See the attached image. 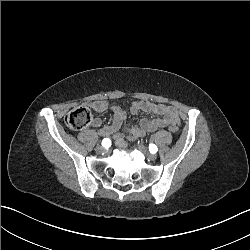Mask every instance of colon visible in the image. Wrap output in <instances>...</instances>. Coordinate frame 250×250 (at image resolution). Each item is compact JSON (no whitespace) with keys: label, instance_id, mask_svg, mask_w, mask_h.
Returning <instances> with one entry per match:
<instances>
[{"label":"colon","instance_id":"5ec220e1","mask_svg":"<svg viewBox=\"0 0 250 250\" xmlns=\"http://www.w3.org/2000/svg\"><path fill=\"white\" fill-rule=\"evenodd\" d=\"M92 121V114L86 107L79 106L72 108L64 117L65 125L73 131H79L87 127ZM178 126L170 125L169 131L172 135L178 134Z\"/></svg>","mask_w":250,"mask_h":250}]
</instances>
